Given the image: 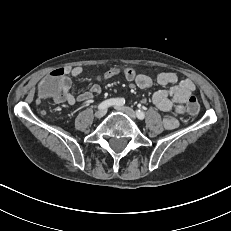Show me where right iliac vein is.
I'll use <instances>...</instances> for the list:
<instances>
[{
	"instance_id": "obj_1",
	"label": "right iliac vein",
	"mask_w": 231,
	"mask_h": 231,
	"mask_svg": "<svg viewBox=\"0 0 231 231\" xmlns=\"http://www.w3.org/2000/svg\"><path fill=\"white\" fill-rule=\"evenodd\" d=\"M106 114V109H100L95 112L96 118H102Z\"/></svg>"
}]
</instances>
